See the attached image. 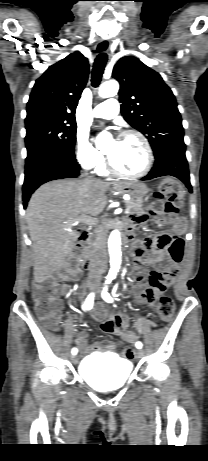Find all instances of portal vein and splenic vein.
<instances>
[{
	"instance_id": "1",
	"label": "portal vein and splenic vein",
	"mask_w": 208,
	"mask_h": 461,
	"mask_svg": "<svg viewBox=\"0 0 208 461\" xmlns=\"http://www.w3.org/2000/svg\"><path fill=\"white\" fill-rule=\"evenodd\" d=\"M125 213H129V210L126 209V210H125ZM76 223H77V222H76ZM76 223H75V224H76ZM83 223H85V224H94L95 222H94L93 218L88 217V218L83 219Z\"/></svg>"
}]
</instances>
